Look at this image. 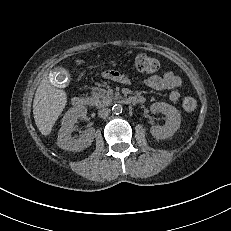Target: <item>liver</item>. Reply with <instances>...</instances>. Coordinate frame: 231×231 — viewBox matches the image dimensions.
I'll list each match as a JSON object with an SVG mask.
<instances>
[{
  "label": "liver",
  "instance_id": "6515ba94",
  "mask_svg": "<svg viewBox=\"0 0 231 231\" xmlns=\"http://www.w3.org/2000/svg\"><path fill=\"white\" fill-rule=\"evenodd\" d=\"M66 103V92L54 87L47 78L42 79L33 101L34 120L41 134H50Z\"/></svg>",
  "mask_w": 231,
  "mask_h": 231
}]
</instances>
